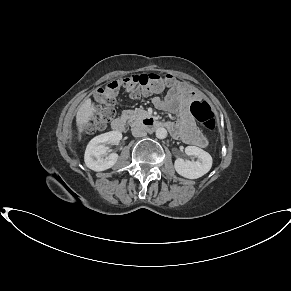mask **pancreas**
Listing matches in <instances>:
<instances>
[{"label":"pancreas","instance_id":"obj_1","mask_svg":"<svg viewBox=\"0 0 291 291\" xmlns=\"http://www.w3.org/2000/svg\"><path fill=\"white\" fill-rule=\"evenodd\" d=\"M147 116H149L148 112L143 109L124 110L122 112V117L128 120L130 126L138 125Z\"/></svg>","mask_w":291,"mask_h":291}]
</instances>
